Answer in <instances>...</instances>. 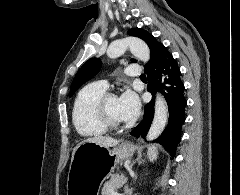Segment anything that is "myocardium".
<instances>
[{
	"instance_id": "obj_1",
	"label": "myocardium",
	"mask_w": 240,
	"mask_h": 195,
	"mask_svg": "<svg viewBox=\"0 0 240 195\" xmlns=\"http://www.w3.org/2000/svg\"><path fill=\"white\" fill-rule=\"evenodd\" d=\"M117 98L115 93H106L101 97L97 106V113L101 123L107 128L112 130H124L129 126L125 125L123 122L116 121L110 111L109 102L111 99Z\"/></svg>"
}]
</instances>
